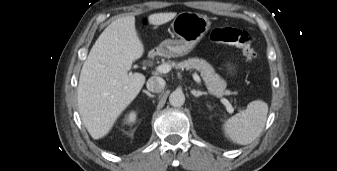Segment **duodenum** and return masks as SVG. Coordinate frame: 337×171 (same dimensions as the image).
Here are the masks:
<instances>
[{"label":"duodenum","instance_id":"obj_1","mask_svg":"<svg viewBox=\"0 0 337 171\" xmlns=\"http://www.w3.org/2000/svg\"><path fill=\"white\" fill-rule=\"evenodd\" d=\"M161 53H162V52H161L160 49L155 48V49H152V50L149 52L148 57H149L150 60H154V59H156L158 56H160Z\"/></svg>","mask_w":337,"mask_h":171}]
</instances>
